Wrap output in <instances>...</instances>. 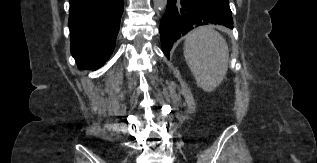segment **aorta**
Masks as SVG:
<instances>
[{"mask_svg":"<svg viewBox=\"0 0 317 163\" xmlns=\"http://www.w3.org/2000/svg\"><path fill=\"white\" fill-rule=\"evenodd\" d=\"M168 0H153L154 6L160 10L163 11L167 6Z\"/></svg>","mask_w":317,"mask_h":163,"instance_id":"obj_1","label":"aorta"}]
</instances>
